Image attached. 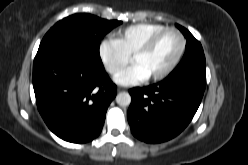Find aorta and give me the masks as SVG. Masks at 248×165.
I'll use <instances>...</instances> for the list:
<instances>
[{
    "instance_id": "obj_1",
    "label": "aorta",
    "mask_w": 248,
    "mask_h": 165,
    "mask_svg": "<svg viewBox=\"0 0 248 165\" xmlns=\"http://www.w3.org/2000/svg\"><path fill=\"white\" fill-rule=\"evenodd\" d=\"M116 102L120 106H128L131 103V96L127 92H120L116 96Z\"/></svg>"
}]
</instances>
